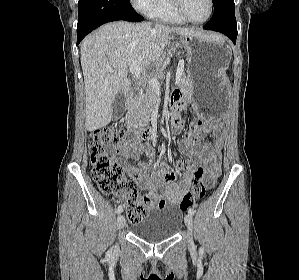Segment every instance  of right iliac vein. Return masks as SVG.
<instances>
[{"label":"right iliac vein","mask_w":299,"mask_h":280,"mask_svg":"<svg viewBox=\"0 0 299 280\" xmlns=\"http://www.w3.org/2000/svg\"><path fill=\"white\" fill-rule=\"evenodd\" d=\"M125 218L123 215H119L117 218V228L122 229L125 226Z\"/></svg>","instance_id":"1"}]
</instances>
